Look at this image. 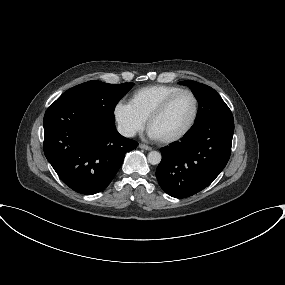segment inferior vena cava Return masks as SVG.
<instances>
[{"label":"inferior vena cava","mask_w":285,"mask_h":285,"mask_svg":"<svg viewBox=\"0 0 285 285\" xmlns=\"http://www.w3.org/2000/svg\"><path fill=\"white\" fill-rule=\"evenodd\" d=\"M118 132L124 137H133L136 133L134 129L123 126H118Z\"/></svg>","instance_id":"obj_1"}]
</instances>
